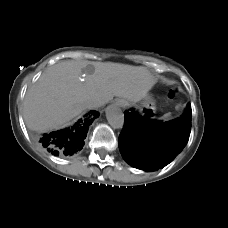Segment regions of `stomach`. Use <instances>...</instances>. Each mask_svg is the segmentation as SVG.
I'll list each match as a JSON object with an SVG mask.
<instances>
[{
  "instance_id": "1",
  "label": "stomach",
  "mask_w": 228,
  "mask_h": 228,
  "mask_svg": "<svg viewBox=\"0 0 228 228\" xmlns=\"http://www.w3.org/2000/svg\"><path fill=\"white\" fill-rule=\"evenodd\" d=\"M122 103H125V101H123ZM140 110L148 116L153 115L155 107H154V102L150 96H147L144 99V101L141 103Z\"/></svg>"
}]
</instances>
